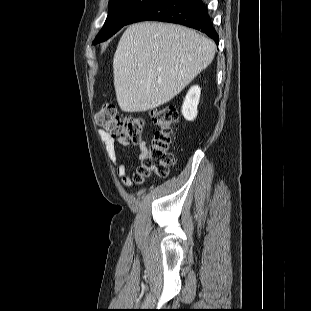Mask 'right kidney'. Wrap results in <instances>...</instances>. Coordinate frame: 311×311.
Listing matches in <instances>:
<instances>
[{
    "mask_svg": "<svg viewBox=\"0 0 311 311\" xmlns=\"http://www.w3.org/2000/svg\"><path fill=\"white\" fill-rule=\"evenodd\" d=\"M201 89L198 85L193 86L188 91L183 105H182V115L188 121H192L197 116V106L200 100Z\"/></svg>",
    "mask_w": 311,
    "mask_h": 311,
    "instance_id": "ca27d5eb",
    "label": "right kidney"
}]
</instances>
